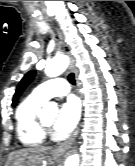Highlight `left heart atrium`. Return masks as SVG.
<instances>
[{
	"label": "left heart atrium",
	"mask_w": 135,
	"mask_h": 166,
	"mask_svg": "<svg viewBox=\"0 0 135 166\" xmlns=\"http://www.w3.org/2000/svg\"><path fill=\"white\" fill-rule=\"evenodd\" d=\"M80 116V105L77 99L69 98L61 106L56 120L54 130L59 135H68L76 127Z\"/></svg>",
	"instance_id": "39dd6f15"
}]
</instances>
